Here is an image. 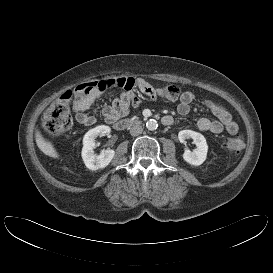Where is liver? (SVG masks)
Masks as SVG:
<instances>
[{"label":"liver","mask_w":273,"mask_h":273,"mask_svg":"<svg viewBox=\"0 0 273 273\" xmlns=\"http://www.w3.org/2000/svg\"><path fill=\"white\" fill-rule=\"evenodd\" d=\"M35 140L38 148L47 156L52 158H59V154L56 151L54 145L48 141L45 140L42 136L41 132L37 129L35 132Z\"/></svg>","instance_id":"liver-1"}]
</instances>
